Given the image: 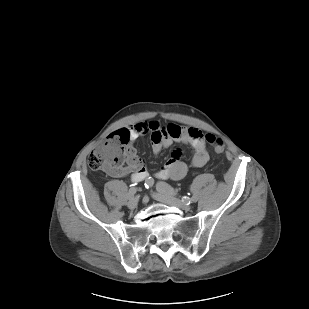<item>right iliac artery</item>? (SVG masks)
Masks as SVG:
<instances>
[{
    "instance_id": "82829eb1",
    "label": "right iliac artery",
    "mask_w": 309,
    "mask_h": 309,
    "mask_svg": "<svg viewBox=\"0 0 309 309\" xmlns=\"http://www.w3.org/2000/svg\"><path fill=\"white\" fill-rule=\"evenodd\" d=\"M153 184H154V180L151 179V177H149L148 179H146L144 185H145L146 188H150V187L153 186ZM133 185H134V184H133ZM129 198H130V200H134V201H136V202L139 201V199H140L139 196H137V195H136V196L134 195L133 197H130V196H129Z\"/></svg>"
}]
</instances>
